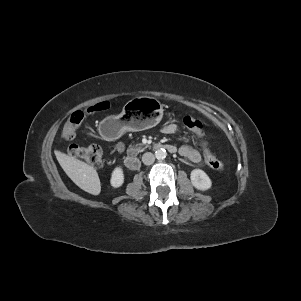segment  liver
Here are the masks:
<instances>
[{"instance_id": "6515ba94", "label": "liver", "mask_w": 301, "mask_h": 301, "mask_svg": "<svg viewBox=\"0 0 301 301\" xmlns=\"http://www.w3.org/2000/svg\"><path fill=\"white\" fill-rule=\"evenodd\" d=\"M55 155L64 172L78 187L92 195H99L100 179L92 166L60 151H55Z\"/></svg>"}]
</instances>
